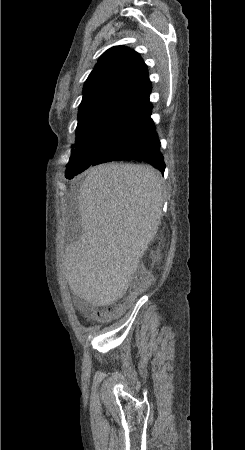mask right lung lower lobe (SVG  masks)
I'll return each instance as SVG.
<instances>
[{"label":"right lung lower lobe","instance_id":"98d812e1","mask_svg":"<svg viewBox=\"0 0 245 450\" xmlns=\"http://www.w3.org/2000/svg\"><path fill=\"white\" fill-rule=\"evenodd\" d=\"M151 110L152 108L139 116L132 135L125 142L111 152L102 153L92 162V165L107 161L140 160L151 164L164 173V157L160 153V142L154 123L150 118Z\"/></svg>","mask_w":245,"mask_h":450}]
</instances>
